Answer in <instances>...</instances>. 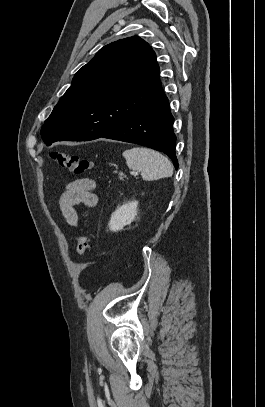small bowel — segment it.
Here are the masks:
<instances>
[{
  "label": "small bowel",
  "instance_id": "small-bowel-1",
  "mask_svg": "<svg viewBox=\"0 0 265 407\" xmlns=\"http://www.w3.org/2000/svg\"><path fill=\"white\" fill-rule=\"evenodd\" d=\"M96 183L90 178H78L70 182L59 199V208L68 225L77 227L79 218L75 207L85 205L93 208L97 204V196L93 192Z\"/></svg>",
  "mask_w": 265,
  "mask_h": 407
}]
</instances>
